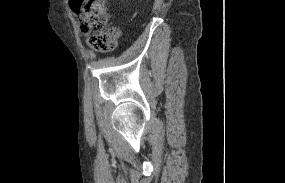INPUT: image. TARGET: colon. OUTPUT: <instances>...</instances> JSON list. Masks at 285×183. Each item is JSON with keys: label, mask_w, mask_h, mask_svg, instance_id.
<instances>
[{"label": "colon", "mask_w": 285, "mask_h": 183, "mask_svg": "<svg viewBox=\"0 0 285 183\" xmlns=\"http://www.w3.org/2000/svg\"><path fill=\"white\" fill-rule=\"evenodd\" d=\"M108 0H71V7L78 16L80 30L92 34L89 45L98 52H110L115 49L119 30L108 27Z\"/></svg>", "instance_id": "colon-1"}]
</instances>
